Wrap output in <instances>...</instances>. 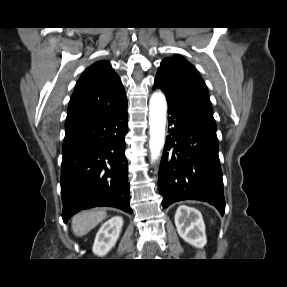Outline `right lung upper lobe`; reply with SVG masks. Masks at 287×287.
Wrapping results in <instances>:
<instances>
[{
    "label": "right lung upper lobe",
    "mask_w": 287,
    "mask_h": 287,
    "mask_svg": "<svg viewBox=\"0 0 287 287\" xmlns=\"http://www.w3.org/2000/svg\"><path fill=\"white\" fill-rule=\"evenodd\" d=\"M127 101L119 76L108 61H98L79 78L70 99L65 125L117 110Z\"/></svg>",
    "instance_id": "obj_1"
}]
</instances>
